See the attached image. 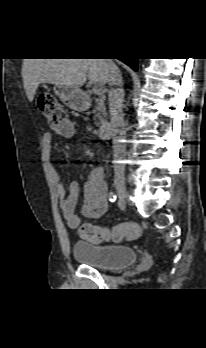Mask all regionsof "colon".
<instances>
[{
  "label": "colon",
  "instance_id": "1",
  "mask_svg": "<svg viewBox=\"0 0 206 348\" xmlns=\"http://www.w3.org/2000/svg\"><path fill=\"white\" fill-rule=\"evenodd\" d=\"M37 104L53 132L63 136H69L73 133L72 123L54 95H39ZM79 234L83 239L93 243L121 242L124 239L133 240L138 238L141 235V227L135 222H123L111 228L83 224L79 228Z\"/></svg>",
  "mask_w": 206,
  "mask_h": 348
}]
</instances>
